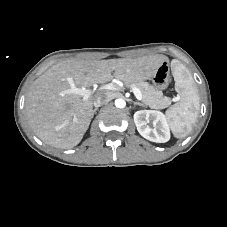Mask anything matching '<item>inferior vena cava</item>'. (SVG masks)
I'll list each match as a JSON object with an SVG mask.
<instances>
[{
  "instance_id": "1",
  "label": "inferior vena cava",
  "mask_w": 227,
  "mask_h": 227,
  "mask_svg": "<svg viewBox=\"0 0 227 227\" xmlns=\"http://www.w3.org/2000/svg\"><path fill=\"white\" fill-rule=\"evenodd\" d=\"M112 98L113 96L111 94L106 93L104 96H98L96 100L93 102V104L97 108L105 103H108L109 101L112 100Z\"/></svg>"
}]
</instances>
